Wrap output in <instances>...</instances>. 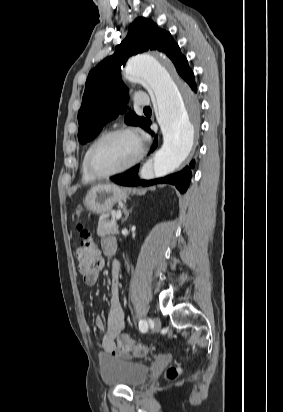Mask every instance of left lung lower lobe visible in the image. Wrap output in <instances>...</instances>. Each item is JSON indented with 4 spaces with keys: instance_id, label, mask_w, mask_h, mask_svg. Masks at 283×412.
<instances>
[{
    "instance_id": "obj_1",
    "label": "left lung lower lobe",
    "mask_w": 283,
    "mask_h": 412,
    "mask_svg": "<svg viewBox=\"0 0 283 412\" xmlns=\"http://www.w3.org/2000/svg\"><path fill=\"white\" fill-rule=\"evenodd\" d=\"M189 86L191 87L192 90L196 91L197 86L195 84L194 80V74L193 72H190L184 79ZM150 124L151 122L148 121L146 126L144 127L145 130H147L152 136H155V134L150 130ZM157 147V136H155V142L154 145L151 149V152L155 150ZM194 166V161L190 163V167L193 168ZM190 167H185L183 170L170 174L168 176L158 178V179H153V180H140L137 176L139 165L129 169L125 173L112 176L110 179L120 185L124 186H137V185H142V186H151V185H156V184H172L175 185V187L179 190L180 193H185L192 177V172Z\"/></svg>"
}]
</instances>
